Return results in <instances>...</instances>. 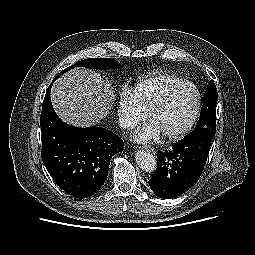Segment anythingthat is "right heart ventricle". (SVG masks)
I'll return each mask as SVG.
<instances>
[{"label": "right heart ventricle", "mask_w": 255, "mask_h": 255, "mask_svg": "<svg viewBox=\"0 0 255 255\" xmlns=\"http://www.w3.org/2000/svg\"><path fill=\"white\" fill-rule=\"evenodd\" d=\"M185 82L176 75L167 73H155L136 82L133 92L148 113L152 107L170 90Z\"/></svg>", "instance_id": "e07e8e85"}]
</instances>
